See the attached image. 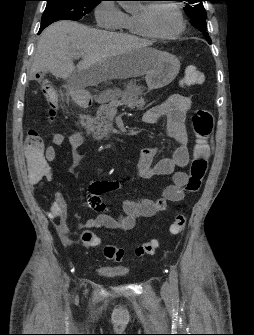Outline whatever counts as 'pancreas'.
Returning <instances> with one entry per match:
<instances>
[{
	"label": "pancreas",
	"mask_w": 254,
	"mask_h": 335,
	"mask_svg": "<svg viewBox=\"0 0 254 335\" xmlns=\"http://www.w3.org/2000/svg\"><path fill=\"white\" fill-rule=\"evenodd\" d=\"M140 94V88L134 86H130L125 92L106 91L99 98L102 104L97 110L96 117L88 118L85 128L95 136L107 135L110 128L107 120L109 112L121 105H125L131 109L136 107L139 110H143L145 101L142 97L139 98Z\"/></svg>",
	"instance_id": "1"
}]
</instances>
